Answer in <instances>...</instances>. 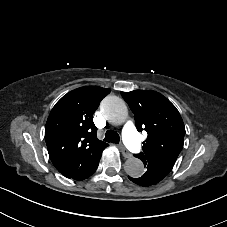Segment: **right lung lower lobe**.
Masks as SVG:
<instances>
[{"mask_svg":"<svg viewBox=\"0 0 227 227\" xmlns=\"http://www.w3.org/2000/svg\"><path fill=\"white\" fill-rule=\"evenodd\" d=\"M101 155L90 159L86 153H79L71 163L60 169H56L67 178L84 180L96 171ZM87 162L86 167H83Z\"/></svg>","mask_w":227,"mask_h":227,"instance_id":"obj_1","label":"right lung lower lobe"}]
</instances>
